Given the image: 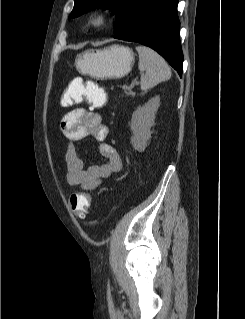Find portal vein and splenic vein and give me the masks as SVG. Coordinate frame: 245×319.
I'll return each instance as SVG.
<instances>
[{"label":"portal vein and splenic vein","mask_w":245,"mask_h":319,"mask_svg":"<svg viewBox=\"0 0 245 319\" xmlns=\"http://www.w3.org/2000/svg\"><path fill=\"white\" fill-rule=\"evenodd\" d=\"M122 89H124V90H128V89H130L128 86H126V85H123L122 86Z\"/></svg>","instance_id":"portal-vein-and-splenic-vein-1"}]
</instances>
